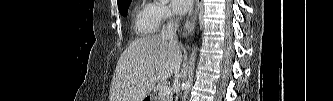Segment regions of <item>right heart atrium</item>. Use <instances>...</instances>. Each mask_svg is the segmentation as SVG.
<instances>
[{
    "label": "right heart atrium",
    "mask_w": 333,
    "mask_h": 101,
    "mask_svg": "<svg viewBox=\"0 0 333 101\" xmlns=\"http://www.w3.org/2000/svg\"><path fill=\"white\" fill-rule=\"evenodd\" d=\"M154 11L159 22H167L174 17L173 10L164 2L157 3Z\"/></svg>",
    "instance_id": "obj_1"
}]
</instances>
